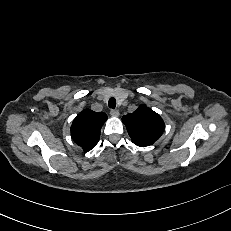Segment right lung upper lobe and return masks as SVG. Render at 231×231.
<instances>
[{"instance_id":"obj_1","label":"right lung upper lobe","mask_w":231,"mask_h":231,"mask_svg":"<svg viewBox=\"0 0 231 231\" xmlns=\"http://www.w3.org/2000/svg\"><path fill=\"white\" fill-rule=\"evenodd\" d=\"M106 120L107 115L103 112H94L90 109L83 110L73 120L71 126L72 139L84 151L91 150L99 141L100 129Z\"/></svg>"}]
</instances>
